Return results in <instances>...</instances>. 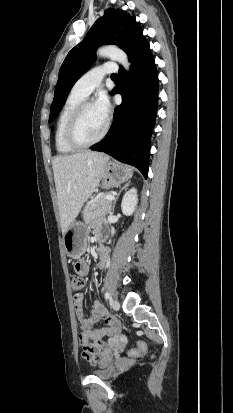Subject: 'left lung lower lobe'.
Returning a JSON list of instances; mask_svg holds the SVG:
<instances>
[{"label":"left lung lower lobe","instance_id":"1","mask_svg":"<svg viewBox=\"0 0 233 413\" xmlns=\"http://www.w3.org/2000/svg\"><path fill=\"white\" fill-rule=\"evenodd\" d=\"M128 56L132 71L127 75L120 67V83L117 85L123 102L115 108L106 137L91 149L137 167L147 178L150 138L158 104V76L146 39Z\"/></svg>","mask_w":233,"mask_h":413}]
</instances>
